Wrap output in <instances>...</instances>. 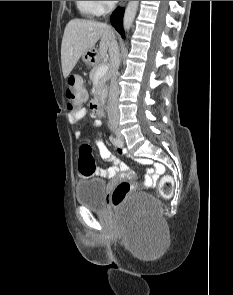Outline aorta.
<instances>
[{"label":"aorta","mask_w":233,"mask_h":295,"mask_svg":"<svg viewBox=\"0 0 233 295\" xmlns=\"http://www.w3.org/2000/svg\"><path fill=\"white\" fill-rule=\"evenodd\" d=\"M138 5H139V1H129L128 2V5L125 10V14H124V20H123L124 29L126 31H128L133 24V21L135 19L136 12L138 9ZM105 96H106L105 93H103L101 96V104L102 105L105 102Z\"/></svg>","instance_id":"762f6f07"}]
</instances>
